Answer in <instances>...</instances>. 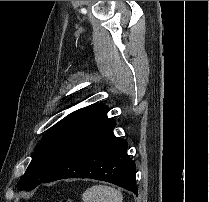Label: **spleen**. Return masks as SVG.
<instances>
[{"mask_svg":"<svg viewBox=\"0 0 209 202\" xmlns=\"http://www.w3.org/2000/svg\"><path fill=\"white\" fill-rule=\"evenodd\" d=\"M84 202H122V193L106 185H94L88 188L83 194Z\"/></svg>","mask_w":209,"mask_h":202,"instance_id":"1","label":"spleen"}]
</instances>
